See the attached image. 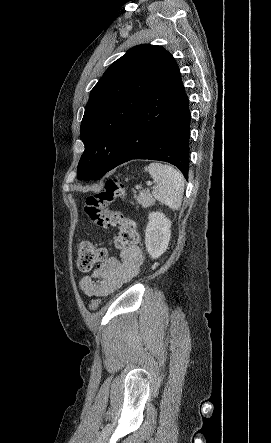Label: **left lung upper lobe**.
<instances>
[{
    "mask_svg": "<svg viewBox=\"0 0 271 443\" xmlns=\"http://www.w3.org/2000/svg\"><path fill=\"white\" fill-rule=\"evenodd\" d=\"M172 59L164 48L142 44L129 49L105 71L91 91L81 122L85 151L78 164V179L98 180L109 171L134 113Z\"/></svg>",
    "mask_w": 271,
    "mask_h": 443,
    "instance_id": "5c2ea615",
    "label": "left lung upper lobe"
}]
</instances>
